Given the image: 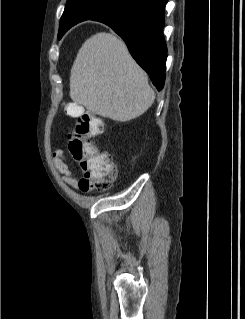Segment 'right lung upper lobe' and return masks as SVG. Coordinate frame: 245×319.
<instances>
[{"label": "right lung upper lobe", "mask_w": 245, "mask_h": 319, "mask_svg": "<svg viewBox=\"0 0 245 319\" xmlns=\"http://www.w3.org/2000/svg\"><path fill=\"white\" fill-rule=\"evenodd\" d=\"M84 0H68L64 13L61 17L60 28H65L64 32L67 31L73 25L94 18L89 12L81 7V2Z\"/></svg>", "instance_id": "1"}]
</instances>
